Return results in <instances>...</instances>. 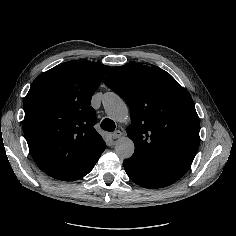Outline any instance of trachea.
<instances>
[{"label":"trachea","instance_id":"1","mask_svg":"<svg viewBox=\"0 0 236 236\" xmlns=\"http://www.w3.org/2000/svg\"><path fill=\"white\" fill-rule=\"evenodd\" d=\"M101 128L105 131L113 132L115 130V123L109 118H105L101 122Z\"/></svg>","mask_w":236,"mask_h":236}]
</instances>
